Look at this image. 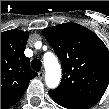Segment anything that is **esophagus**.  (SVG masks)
<instances>
[{"mask_svg": "<svg viewBox=\"0 0 109 109\" xmlns=\"http://www.w3.org/2000/svg\"><path fill=\"white\" fill-rule=\"evenodd\" d=\"M38 77L40 79H43L44 78V70H41V71L38 72Z\"/></svg>", "mask_w": 109, "mask_h": 109, "instance_id": "34e87169", "label": "esophagus"}]
</instances>
